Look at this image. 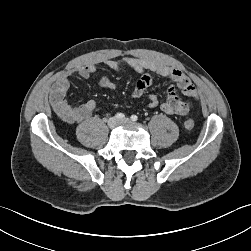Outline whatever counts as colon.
I'll list each match as a JSON object with an SVG mask.
<instances>
[{"label":"colon","instance_id":"colon-1","mask_svg":"<svg viewBox=\"0 0 251 251\" xmlns=\"http://www.w3.org/2000/svg\"><path fill=\"white\" fill-rule=\"evenodd\" d=\"M184 127H185L187 130L193 129V127H194V121H193L192 119L186 120L185 123H184Z\"/></svg>","mask_w":251,"mask_h":251}]
</instances>
